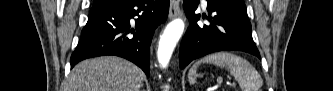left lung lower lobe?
I'll list each match as a JSON object with an SVG mask.
<instances>
[{
	"label": "left lung lower lobe",
	"instance_id": "0a47b994",
	"mask_svg": "<svg viewBox=\"0 0 333 91\" xmlns=\"http://www.w3.org/2000/svg\"><path fill=\"white\" fill-rule=\"evenodd\" d=\"M209 25H198L194 14L199 0H184L189 27L182 39L179 62L184 68L191 61L217 51H243L260 58L252 39L251 24L244 0H207ZM202 18H205L202 16Z\"/></svg>",
	"mask_w": 333,
	"mask_h": 91
}]
</instances>
